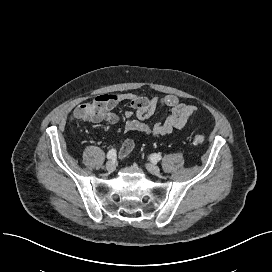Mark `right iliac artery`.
Here are the masks:
<instances>
[{
  "label": "right iliac artery",
  "mask_w": 272,
  "mask_h": 272,
  "mask_svg": "<svg viewBox=\"0 0 272 272\" xmlns=\"http://www.w3.org/2000/svg\"><path fill=\"white\" fill-rule=\"evenodd\" d=\"M115 157H116V150L115 149L109 150V152L107 153V159L112 160Z\"/></svg>",
  "instance_id": "82829eb1"
}]
</instances>
